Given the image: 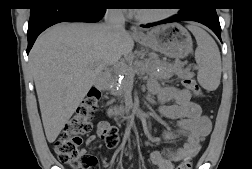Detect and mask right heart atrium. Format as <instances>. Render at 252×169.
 I'll list each match as a JSON object with an SVG mask.
<instances>
[{"mask_svg":"<svg viewBox=\"0 0 252 169\" xmlns=\"http://www.w3.org/2000/svg\"><path fill=\"white\" fill-rule=\"evenodd\" d=\"M115 11H116L117 13H120V14H123V13H124V10H123V9H115Z\"/></svg>","mask_w":252,"mask_h":169,"instance_id":"right-heart-atrium-1","label":"right heart atrium"}]
</instances>
